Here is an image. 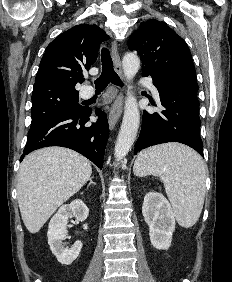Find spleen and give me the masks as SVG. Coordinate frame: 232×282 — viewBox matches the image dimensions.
<instances>
[{
    "instance_id": "3e777b00",
    "label": "spleen",
    "mask_w": 232,
    "mask_h": 282,
    "mask_svg": "<svg viewBox=\"0 0 232 282\" xmlns=\"http://www.w3.org/2000/svg\"><path fill=\"white\" fill-rule=\"evenodd\" d=\"M137 176L160 177L179 225L192 227L199 219L205 197L206 169L192 149L176 143L139 153L133 168Z\"/></svg>"
}]
</instances>
